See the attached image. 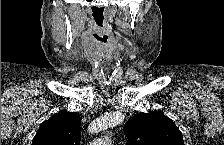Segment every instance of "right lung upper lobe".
<instances>
[{
  "mask_svg": "<svg viewBox=\"0 0 224 145\" xmlns=\"http://www.w3.org/2000/svg\"><path fill=\"white\" fill-rule=\"evenodd\" d=\"M80 136V116L59 112L40 125L32 145H78Z\"/></svg>",
  "mask_w": 224,
  "mask_h": 145,
  "instance_id": "1",
  "label": "right lung upper lobe"
}]
</instances>
